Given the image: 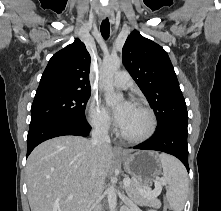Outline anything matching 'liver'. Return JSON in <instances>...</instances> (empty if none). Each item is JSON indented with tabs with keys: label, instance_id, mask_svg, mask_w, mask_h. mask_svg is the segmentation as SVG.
I'll return each instance as SVG.
<instances>
[{
	"label": "liver",
	"instance_id": "1",
	"mask_svg": "<svg viewBox=\"0 0 221 211\" xmlns=\"http://www.w3.org/2000/svg\"><path fill=\"white\" fill-rule=\"evenodd\" d=\"M113 156L111 147L98 151L90 140L78 136L38 145L26 165L31 211H87L94 182L99 174L105 180Z\"/></svg>",
	"mask_w": 221,
	"mask_h": 211
}]
</instances>
